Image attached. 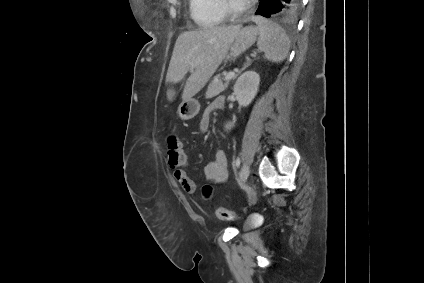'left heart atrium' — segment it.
I'll return each instance as SVG.
<instances>
[{"instance_id":"obj_1","label":"left heart atrium","mask_w":424,"mask_h":283,"mask_svg":"<svg viewBox=\"0 0 424 283\" xmlns=\"http://www.w3.org/2000/svg\"><path fill=\"white\" fill-rule=\"evenodd\" d=\"M236 1H238L239 3H241V4H248V3H250V1H252V0H236Z\"/></svg>"}]
</instances>
